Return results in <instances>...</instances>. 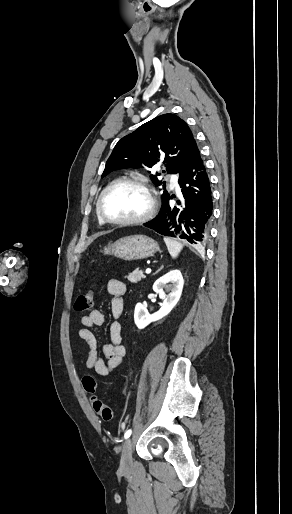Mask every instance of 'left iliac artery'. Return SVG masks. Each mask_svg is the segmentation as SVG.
<instances>
[{
	"label": "left iliac artery",
	"mask_w": 292,
	"mask_h": 514,
	"mask_svg": "<svg viewBox=\"0 0 292 514\" xmlns=\"http://www.w3.org/2000/svg\"><path fill=\"white\" fill-rule=\"evenodd\" d=\"M131 433H132V430H131V429L127 430V431L125 432V434H124V438H125V439L129 438V437H130V435H131Z\"/></svg>",
	"instance_id": "1"
}]
</instances>
